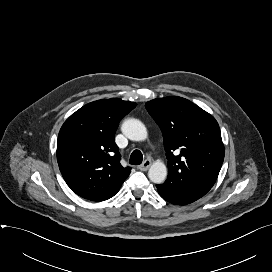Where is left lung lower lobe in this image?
Listing matches in <instances>:
<instances>
[{"label": "left lung lower lobe", "instance_id": "1", "mask_svg": "<svg viewBox=\"0 0 272 272\" xmlns=\"http://www.w3.org/2000/svg\"><path fill=\"white\" fill-rule=\"evenodd\" d=\"M159 195L166 201L176 205H186L192 203L202 196H204L209 190L200 189L196 187H183L180 190H170L164 184L157 185Z\"/></svg>", "mask_w": 272, "mask_h": 272}]
</instances>
